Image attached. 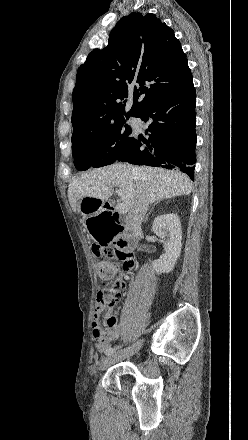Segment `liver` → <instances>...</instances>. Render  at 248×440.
<instances>
[{"instance_id":"obj_1","label":"liver","mask_w":248,"mask_h":440,"mask_svg":"<svg viewBox=\"0 0 248 440\" xmlns=\"http://www.w3.org/2000/svg\"><path fill=\"white\" fill-rule=\"evenodd\" d=\"M118 187V195L127 211L132 210L140 195L148 203L189 195L192 185L189 178L177 171L154 167H134L116 163L93 169L73 179L68 187V199L74 212L78 201L85 197L106 200Z\"/></svg>"}]
</instances>
